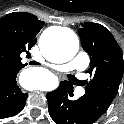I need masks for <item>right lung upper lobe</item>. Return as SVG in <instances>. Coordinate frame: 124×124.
Here are the masks:
<instances>
[{"mask_svg": "<svg viewBox=\"0 0 124 124\" xmlns=\"http://www.w3.org/2000/svg\"><path fill=\"white\" fill-rule=\"evenodd\" d=\"M44 22L30 13L13 12L0 18V74L18 73L22 64L20 54L35 45L36 35Z\"/></svg>", "mask_w": 124, "mask_h": 124, "instance_id": "cb5924a9", "label": "right lung upper lobe"}]
</instances>
